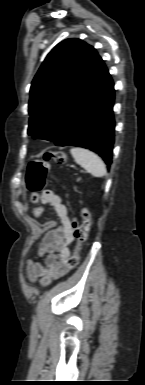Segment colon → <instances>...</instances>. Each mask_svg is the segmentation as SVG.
Wrapping results in <instances>:
<instances>
[{
    "label": "colon",
    "instance_id": "5ec220e1",
    "mask_svg": "<svg viewBox=\"0 0 145 385\" xmlns=\"http://www.w3.org/2000/svg\"><path fill=\"white\" fill-rule=\"evenodd\" d=\"M66 161V154L62 151H51L44 154L43 159L30 164L27 172L26 184L31 193V199L38 202L39 193L45 188L46 177L50 170L51 163L63 164ZM92 224L91 212L83 207L81 210V222L74 224L72 228L73 237L76 240L74 253L69 259V264L75 267L79 261V253L87 240Z\"/></svg>",
    "mask_w": 145,
    "mask_h": 385
}]
</instances>
